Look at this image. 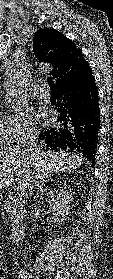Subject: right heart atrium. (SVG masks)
<instances>
[{
    "label": "right heart atrium",
    "mask_w": 113,
    "mask_h": 279,
    "mask_svg": "<svg viewBox=\"0 0 113 279\" xmlns=\"http://www.w3.org/2000/svg\"><path fill=\"white\" fill-rule=\"evenodd\" d=\"M8 132L11 141H19L36 132L35 122L29 111L23 110L7 117Z\"/></svg>",
    "instance_id": "obj_1"
}]
</instances>
